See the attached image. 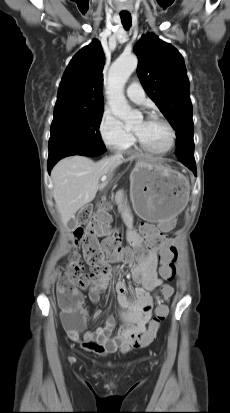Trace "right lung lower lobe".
<instances>
[{
  "label": "right lung lower lobe",
  "instance_id": "right-lung-lower-lobe-1",
  "mask_svg": "<svg viewBox=\"0 0 230 413\" xmlns=\"http://www.w3.org/2000/svg\"><path fill=\"white\" fill-rule=\"evenodd\" d=\"M106 148L104 150H75V151H67L64 152L54 158L48 159V172L50 173L52 167L62 158L67 157V156H72V155H82V156H98L101 155L105 152Z\"/></svg>",
  "mask_w": 230,
  "mask_h": 413
}]
</instances>
